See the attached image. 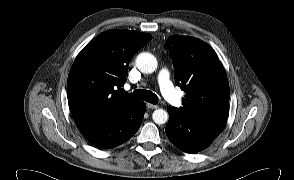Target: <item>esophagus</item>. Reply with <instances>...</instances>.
<instances>
[{
  "mask_svg": "<svg viewBox=\"0 0 294 180\" xmlns=\"http://www.w3.org/2000/svg\"><path fill=\"white\" fill-rule=\"evenodd\" d=\"M147 107L149 109H157L159 106L158 105L151 104V103H147Z\"/></svg>",
  "mask_w": 294,
  "mask_h": 180,
  "instance_id": "obj_1",
  "label": "esophagus"
}]
</instances>
